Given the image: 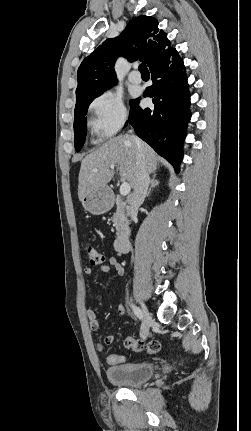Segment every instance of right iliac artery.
<instances>
[{
  "label": "right iliac artery",
  "instance_id": "1",
  "mask_svg": "<svg viewBox=\"0 0 251 431\" xmlns=\"http://www.w3.org/2000/svg\"><path fill=\"white\" fill-rule=\"evenodd\" d=\"M131 308H132V310H133V312H134V314L141 320V319H143V314H142V311L140 310V308H138V307H136V306H134V305H131Z\"/></svg>",
  "mask_w": 251,
  "mask_h": 431
}]
</instances>
